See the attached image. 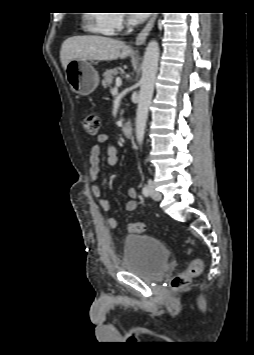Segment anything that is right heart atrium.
Segmentation results:
<instances>
[{
  "instance_id": "d8ad5b80",
  "label": "right heart atrium",
  "mask_w": 254,
  "mask_h": 355,
  "mask_svg": "<svg viewBox=\"0 0 254 355\" xmlns=\"http://www.w3.org/2000/svg\"><path fill=\"white\" fill-rule=\"evenodd\" d=\"M101 27L109 34H114L128 25L126 15L119 10H109L101 14L99 19Z\"/></svg>"
}]
</instances>
